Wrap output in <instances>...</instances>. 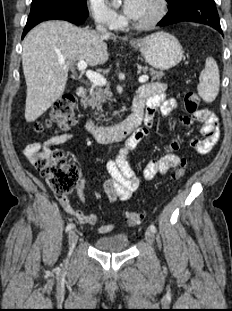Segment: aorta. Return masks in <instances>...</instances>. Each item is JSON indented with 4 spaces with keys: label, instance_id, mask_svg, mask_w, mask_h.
<instances>
[{
    "label": "aorta",
    "instance_id": "762f6f07",
    "mask_svg": "<svg viewBox=\"0 0 232 311\" xmlns=\"http://www.w3.org/2000/svg\"><path fill=\"white\" fill-rule=\"evenodd\" d=\"M120 0H113V3H118Z\"/></svg>",
    "mask_w": 232,
    "mask_h": 311
}]
</instances>
